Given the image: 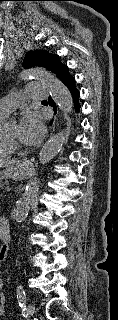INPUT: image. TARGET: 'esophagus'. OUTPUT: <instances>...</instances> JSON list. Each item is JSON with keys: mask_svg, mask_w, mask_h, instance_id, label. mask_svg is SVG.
<instances>
[{"mask_svg": "<svg viewBox=\"0 0 118 320\" xmlns=\"http://www.w3.org/2000/svg\"><path fill=\"white\" fill-rule=\"evenodd\" d=\"M34 161V158L32 157L31 159H30V162H33Z\"/></svg>", "mask_w": 118, "mask_h": 320, "instance_id": "1", "label": "esophagus"}]
</instances>
